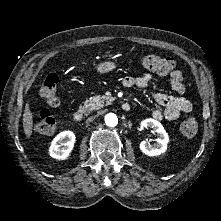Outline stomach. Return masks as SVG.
Returning <instances> with one entry per match:
<instances>
[{"label": "stomach", "instance_id": "0dacf381", "mask_svg": "<svg viewBox=\"0 0 221 221\" xmlns=\"http://www.w3.org/2000/svg\"><path fill=\"white\" fill-rule=\"evenodd\" d=\"M116 68V64L111 61H104L97 65L96 69L100 74H106L113 71Z\"/></svg>", "mask_w": 221, "mask_h": 221}]
</instances>
